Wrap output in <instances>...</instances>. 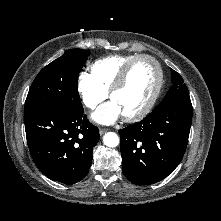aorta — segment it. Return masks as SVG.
Instances as JSON below:
<instances>
[{"mask_svg": "<svg viewBox=\"0 0 221 221\" xmlns=\"http://www.w3.org/2000/svg\"><path fill=\"white\" fill-rule=\"evenodd\" d=\"M103 143L107 147H116L119 144V137L114 132H108L103 136Z\"/></svg>", "mask_w": 221, "mask_h": 221, "instance_id": "obj_1", "label": "aorta"}]
</instances>
